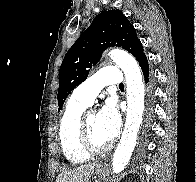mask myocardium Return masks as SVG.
<instances>
[{"label":"myocardium","instance_id":"myocardium-1","mask_svg":"<svg viewBox=\"0 0 196 182\" xmlns=\"http://www.w3.org/2000/svg\"><path fill=\"white\" fill-rule=\"evenodd\" d=\"M90 113H92V111H84L81 114L77 124L76 136L78 145L81 150H83L88 155H97L108 151L110 146L106 144L104 146L97 147L90 142L86 124L87 117Z\"/></svg>","mask_w":196,"mask_h":182}]
</instances>
